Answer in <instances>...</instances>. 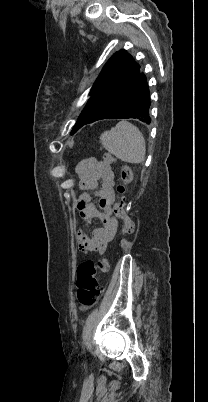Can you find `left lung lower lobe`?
<instances>
[{
  "instance_id": "1",
  "label": "left lung lower lobe",
  "mask_w": 208,
  "mask_h": 402,
  "mask_svg": "<svg viewBox=\"0 0 208 402\" xmlns=\"http://www.w3.org/2000/svg\"><path fill=\"white\" fill-rule=\"evenodd\" d=\"M136 118L146 124L151 122L150 94L143 73H140L126 92L109 107L98 120Z\"/></svg>"
}]
</instances>
